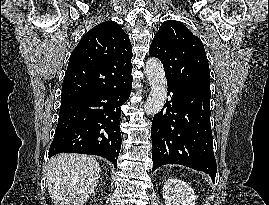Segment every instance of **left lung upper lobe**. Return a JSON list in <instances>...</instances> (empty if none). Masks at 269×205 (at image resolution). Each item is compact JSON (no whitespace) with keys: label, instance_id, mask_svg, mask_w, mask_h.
Instances as JSON below:
<instances>
[{"label":"left lung upper lobe","instance_id":"5c2ea615","mask_svg":"<svg viewBox=\"0 0 269 205\" xmlns=\"http://www.w3.org/2000/svg\"><path fill=\"white\" fill-rule=\"evenodd\" d=\"M149 54L163 63L167 83L210 88L203 43L182 23L165 21L152 41Z\"/></svg>","mask_w":269,"mask_h":205}]
</instances>
